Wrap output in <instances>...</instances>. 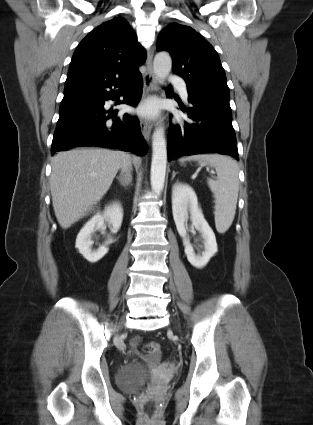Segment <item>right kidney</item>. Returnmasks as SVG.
Returning a JSON list of instances; mask_svg holds the SVG:
<instances>
[{"mask_svg":"<svg viewBox=\"0 0 313 425\" xmlns=\"http://www.w3.org/2000/svg\"><path fill=\"white\" fill-rule=\"evenodd\" d=\"M104 220H107L112 225V233H116L121 227L123 220V208L119 202L107 206L102 213L94 215L80 230L76 238L75 247L79 253L91 263L99 261L107 252L108 245L112 243V239H108L97 250H92L91 240L92 234L103 227Z\"/></svg>","mask_w":313,"mask_h":425,"instance_id":"1","label":"right kidney"}]
</instances>
